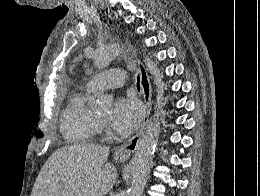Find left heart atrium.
Masks as SVG:
<instances>
[{"label":"left heart atrium","mask_w":260,"mask_h":196,"mask_svg":"<svg viewBox=\"0 0 260 196\" xmlns=\"http://www.w3.org/2000/svg\"><path fill=\"white\" fill-rule=\"evenodd\" d=\"M143 117V108L140 102L133 98H120L108 117V123L115 131L128 135L135 130Z\"/></svg>","instance_id":"39dd6f15"}]
</instances>
